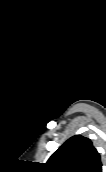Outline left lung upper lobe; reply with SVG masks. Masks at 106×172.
<instances>
[{"mask_svg": "<svg viewBox=\"0 0 106 172\" xmlns=\"http://www.w3.org/2000/svg\"><path fill=\"white\" fill-rule=\"evenodd\" d=\"M51 172H102L100 155L90 139L75 135L68 139L46 163Z\"/></svg>", "mask_w": 106, "mask_h": 172, "instance_id": "left-lung-upper-lobe-1", "label": "left lung upper lobe"}]
</instances>
